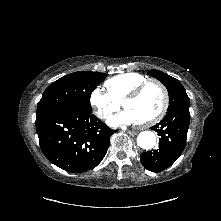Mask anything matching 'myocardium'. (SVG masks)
Returning a JSON list of instances; mask_svg holds the SVG:
<instances>
[{"label": "myocardium", "instance_id": "1", "mask_svg": "<svg viewBox=\"0 0 221 221\" xmlns=\"http://www.w3.org/2000/svg\"><path fill=\"white\" fill-rule=\"evenodd\" d=\"M149 85H155L159 88L162 94L163 102H162V106L160 110L153 117H151L148 120L138 123L140 127H150L160 122L163 119V117L166 115L168 107H169V94H168L166 87L161 82L154 80V79H147L143 81L142 83H140L138 86H136L122 100V106L124 107V104L126 101L134 100L138 98L141 95V93L144 91V89Z\"/></svg>", "mask_w": 221, "mask_h": 221}]
</instances>
